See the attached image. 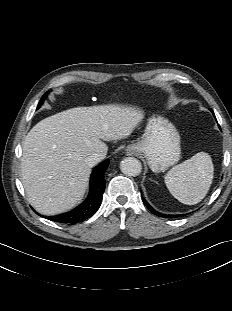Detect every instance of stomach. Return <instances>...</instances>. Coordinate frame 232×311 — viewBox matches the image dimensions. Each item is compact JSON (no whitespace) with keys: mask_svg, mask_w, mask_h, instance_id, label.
Here are the masks:
<instances>
[{"mask_svg":"<svg viewBox=\"0 0 232 311\" xmlns=\"http://www.w3.org/2000/svg\"><path fill=\"white\" fill-rule=\"evenodd\" d=\"M127 152L142 154L153 172H161L180 159V135L166 118L153 115L148 119L142 140L128 145Z\"/></svg>","mask_w":232,"mask_h":311,"instance_id":"stomach-1","label":"stomach"}]
</instances>
